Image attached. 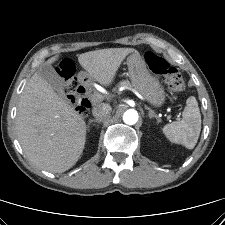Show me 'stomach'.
Returning a JSON list of instances; mask_svg holds the SVG:
<instances>
[{"label":"stomach","mask_w":225,"mask_h":225,"mask_svg":"<svg viewBox=\"0 0 225 225\" xmlns=\"http://www.w3.org/2000/svg\"><path fill=\"white\" fill-rule=\"evenodd\" d=\"M127 65L132 86L153 107H161L166 100V93L159 80L147 69L143 57L134 52L127 58Z\"/></svg>","instance_id":"0dacf381"}]
</instances>
